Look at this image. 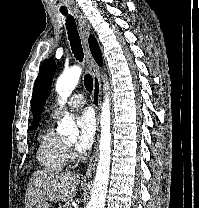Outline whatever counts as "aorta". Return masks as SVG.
Segmentation results:
<instances>
[{
    "label": "aorta",
    "instance_id": "obj_1",
    "mask_svg": "<svg viewBox=\"0 0 199 208\" xmlns=\"http://www.w3.org/2000/svg\"><path fill=\"white\" fill-rule=\"evenodd\" d=\"M82 68L73 66L65 70L56 82V91L59 94L62 105L65 104L67 98L75 89L80 76ZM105 90H108V84H105ZM101 135L99 143V161L97 164L96 175L93 182L91 199L89 201V208H104L107 194V187L110 175V161H111V112L109 92L105 93L104 102L101 108ZM57 132L60 135H75L79 130L73 118L66 112L63 119L58 123Z\"/></svg>",
    "mask_w": 199,
    "mask_h": 208
}]
</instances>
